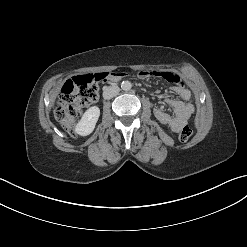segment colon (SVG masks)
Masks as SVG:
<instances>
[{"label":"colon","mask_w":247,"mask_h":247,"mask_svg":"<svg viewBox=\"0 0 247 247\" xmlns=\"http://www.w3.org/2000/svg\"><path fill=\"white\" fill-rule=\"evenodd\" d=\"M111 75L110 73L78 75L64 83L55 109V117L71 135L75 136V121L81 108L98 99L99 83L106 81ZM192 133L189 126H184L179 132V139L186 142Z\"/></svg>","instance_id":"5ec220e1"}]
</instances>
